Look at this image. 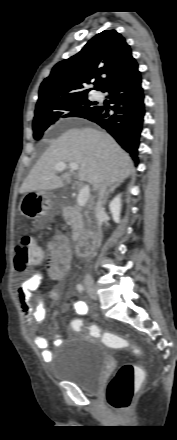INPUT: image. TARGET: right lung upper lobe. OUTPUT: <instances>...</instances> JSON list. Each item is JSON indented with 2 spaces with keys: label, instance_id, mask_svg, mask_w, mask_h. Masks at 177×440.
I'll return each instance as SVG.
<instances>
[{
  "label": "right lung upper lobe",
  "instance_id": "obj_1",
  "mask_svg": "<svg viewBox=\"0 0 177 440\" xmlns=\"http://www.w3.org/2000/svg\"><path fill=\"white\" fill-rule=\"evenodd\" d=\"M137 66L125 38L115 30H105L89 40L80 52L53 67L41 83L36 107L63 97L87 95L93 89L86 88L90 83L104 92Z\"/></svg>",
  "mask_w": 177,
  "mask_h": 440
}]
</instances>
